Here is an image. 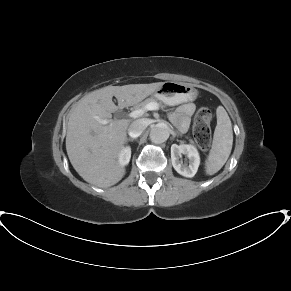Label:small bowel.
<instances>
[{
  "mask_svg": "<svg viewBox=\"0 0 291 291\" xmlns=\"http://www.w3.org/2000/svg\"><path fill=\"white\" fill-rule=\"evenodd\" d=\"M194 111L195 106L193 104H183L170 114V119L179 130L185 131L188 128L190 117Z\"/></svg>",
  "mask_w": 291,
  "mask_h": 291,
  "instance_id": "small-bowel-1",
  "label": "small bowel"
}]
</instances>
